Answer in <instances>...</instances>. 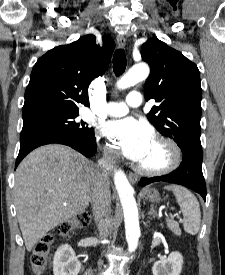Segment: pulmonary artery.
I'll return each instance as SVG.
<instances>
[{"label": "pulmonary artery", "instance_id": "obj_1", "mask_svg": "<svg viewBox=\"0 0 225 275\" xmlns=\"http://www.w3.org/2000/svg\"><path fill=\"white\" fill-rule=\"evenodd\" d=\"M142 104V95L138 91L130 92L124 102H110L107 104L105 112L109 116L125 115L130 107H139Z\"/></svg>", "mask_w": 225, "mask_h": 275}]
</instances>
